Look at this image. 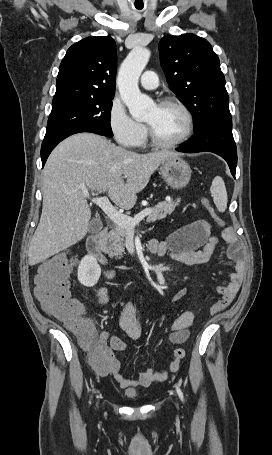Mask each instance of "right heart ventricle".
I'll list each match as a JSON object with an SVG mask.
<instances>
[{
  "label": "right heart ventricle",
  "instance_id": "right-heart-ventricle-1",
  "mask_svg": "<svg viewBox=\"0 0 272 455\" xmlns=\"http://www.w3.org/2000/svg\"><path fill=\"white\" fill-rule=\"evenodd\" d=\"M145 143V137L143 138V140L141 141V143L139 145H144Z\"/></svg>",
  "mask_w": 272,
  "mask_h": 455
}]
</instances>
